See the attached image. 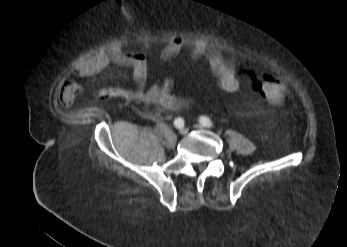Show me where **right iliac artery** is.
<instances>
[{
    "label": "right iliac artery",
    "mask_w": 347,
    "mask_h": 247,
    "mask_svg": "<svg viewBox=\"0 0 347 247\" xmlns=\"http://www.w3.org/2000/svg\"><path fill=\"white\" fill-rule=\"evenodd\" d=\"M174 125H175V127H177V128H182V127H184V120H183V118L179 117V118L175 119Z\"/></svg>",
    "instance_id": "obj_1"
}]
</instances>
